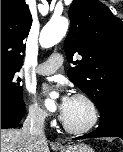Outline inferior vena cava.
Returning a JSON list of instances; mask_svg holds the SVG:
<instances>
[{"instance_id":"obj_1","label":"inferior vena cava","mask_w":123,"mask_h":152,"mask_svg":"<svg viewBox=\"0 0 123 152\" xmlns=\"http://www.w3.org/2000/svg\"><path fill=\"white\" fill-rule=\"evenodd\" d=\"M45 112L36 110L30 111L23 123L22 131L32 137V139H46L44 134Z\"/></svg>"}]
</instances>
